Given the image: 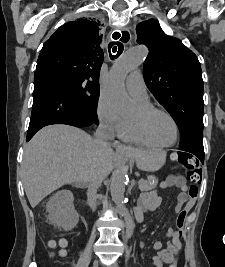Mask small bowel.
<instances>
[{"label":"small bowel","mask_w":225,"mask_h":267,"mask_svg":"<svg viewBox=\"0 0 225 267\" xmlns=\"http://www.w3.org/2000/svg\"><path fill=\"white\" fill-rule=\"evenodd\" d=\"M172 187H177L182 191L178 196L175 206V210L179 211L187 202V195L185 193L187 184L185 178L181 175H172L161 184L160 189H168ZM160 204L161 197L159 190L151 191L141 198L137 207V213L142 215L143 212L155 211L159 208ZM166 235L169 238V242L165 248H163L161 241H156L153 244V248L158 251L157 255L154 256L152 260L156 267H163L164 263H171L174 253L181 244V237L179 236L178 231H174L173 228L170 227L168 228ZM141 245L143 246L144 242H141Z\"/></svg>","instance_id":"1"}]
</instances>
